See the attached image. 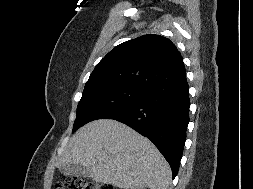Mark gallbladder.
<instances>
[{"instance_id":"bac80fb5","label":"gallbladder","mask_w":253,"mask_h":189,"mask_svg":"<svg viewBox=\"0 0 253 189\" xmlns=\"http://www.w3.org/2000/svg\"><path fill=\"white\" fill-rule=\"evenodd\" d=\"M60 171L66 176H89L87 168L80 164H69L66 166H62L60 168Z\"/></svg>"}]
</instances>
